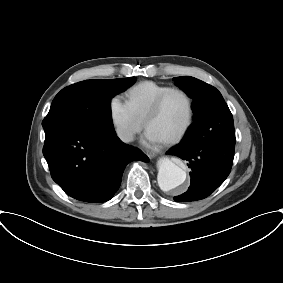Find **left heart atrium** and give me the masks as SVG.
Here are the masks:
<instances>
[{"instance_id":"obj_1","label":"left heart atrium","mask_w":283,"mask_h":283,"mask_svg":"<svg viewBox=\"0 0 283 283\" xmlns=\"http://www.w3.org/2000/svg\"><path fill=\"white\" fill-rule=\"evenodd\" d=\"M145 141L149 143H161L163 142L159 137L151 133L150 131H146Z\"/></svg>"}]
</instances>
